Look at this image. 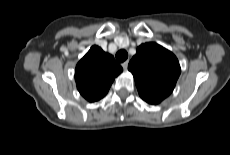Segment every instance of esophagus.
<instances>
[{
    "mask_svg": "<svg viewBox=\"0 0 230 155\" xmlns=\"http://www.w3.org/2000/svg\"><path fill=\"white\" fill-rule=\"evenodd\" d=\"M121 65H122L123 69L126 70L128 67V61L123 62Z\"/></svg>",
    "mask_w": 230,
    "mask_h": 155,
    "instance_id": "esophagus-1",
    "label": "esophagus"
}]
</instances>
